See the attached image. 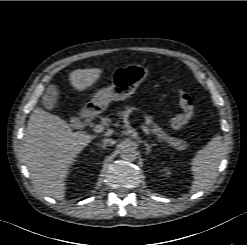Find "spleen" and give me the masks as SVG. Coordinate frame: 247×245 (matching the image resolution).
<instances>
[{
    "label": "spleen",
    "instance_id": "1",
    "mask_svg": "<svg viewBox=\"0 0 247 245\" xmlns=\"http://www.w3.org/2000/svg\"><path fill=\"white\" fill-rule=\"evenodd\" d=\"M222 149V138L216 135L192 159L191 171L194 180L191 193L202 190L215 178L222 159Z\"/></svg>",
    "mask_w": 247,
    "mask_h": 245
}]
</instances>
